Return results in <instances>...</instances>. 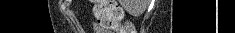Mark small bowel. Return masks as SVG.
<instances>
[{
	"instance_id": "obj_1",
	"label": "small bowel",
	"mask_w": 235,
	"mask_h": 33,
	"mask_svg": "<svg viewBox=\"0 0 235 33\" xmlns=\"http://www.w3.org/2000/svg\"><path fill=\"white\" fill-rule=\"evenodd\" d=\"M94 30L96 33H111L98 24H94Z\"/></svg>"
}]
</instances>
